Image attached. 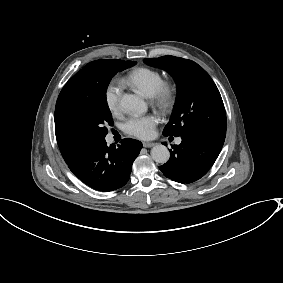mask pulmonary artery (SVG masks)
I'll return each instance as SVG.
<instances>
[{
	"mask_svg": "<svg viewBox=\"0 0 283 283\" xmlns=\"http://www.w3.org/2000/svg\"><path fill=\"white\" fill-rule=\"evenodd\" d=\"M106 140H107V143H108V144L111 143V142H112V137H111V135H108ZM176 143H177V144H180V143H181V139H180V138L177 139V140H176Z\"/></svg>",
	"mask_w": 283,
	"mask_h": 283,
	"instance_id": "obj_1",
	"label": "pulmonary artery"
}]
</instances>
